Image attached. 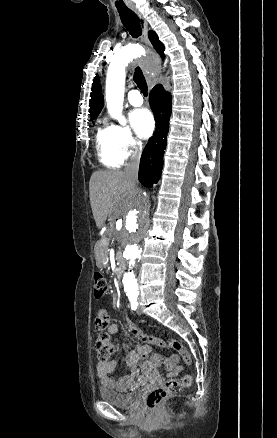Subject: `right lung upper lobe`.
Listing matches in <instances>:
<instances>
[{
  "mask_svg": "<svg viewBox=\"0 0 277 438\" xmlns=\"http://www.w3.org/2000/svg\"><path fill=\"white\" fill-rule=\"evenodd\" d=\"M149 39L151 41V43L153 44L154 48L157 50V52L162 56V58L164 57V46L163 44L159 41L158 36L156 35L155 32L150 31L149 34ZM91 99H90V116L92 118H96L97 115L100 113L102 107H103V96L101 94V87L99 84V79L98 76L95 77L94 81H93V86H92V92H91Z\"/></svg>",
  "mask_w": 277,
  "mask_h": 438,
  "instance_id": "1",
  "label": "right lung upper lobe"
}]
</instances>
